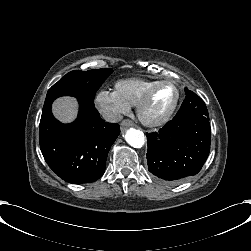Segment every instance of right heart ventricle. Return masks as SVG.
<instances>
[{"label": "right heart ventricle", "mask_w": 251, "mask_h": 251, "mask_svg": "<svg viewBox=\"0 0 251 251\" xmlns=\"http://www.w3.org/2000/svg\"><path fill=\"white\" fill-rule=\"evenodd\" d=\"M155 81L157 79L150 76L123 78L114 83V91L121 100L130 106H136Z\"/></svg>", "instance_id": "e07e8e85"}]
</instances>
